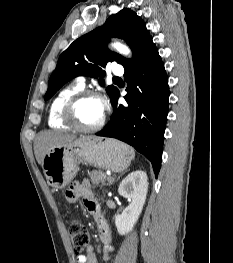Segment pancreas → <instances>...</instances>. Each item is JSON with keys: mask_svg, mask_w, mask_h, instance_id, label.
Segmentation results:
<instances>
[{"mask_svg": "<svg viewBox=\"0 0 233 263\" xmlns=\"http://www.w3.org/2000/svg\"><path fill=\"white\" fill-rule=\"evenodd\" d=\"M91 181L93 182V184H105V180H108V176L101 170H93L92 172L88 173Z\"/></svg>", "mask_w": 233, "mask_h": 263, "instance_id": "1", "label": "pancreas"}]
</instances>
